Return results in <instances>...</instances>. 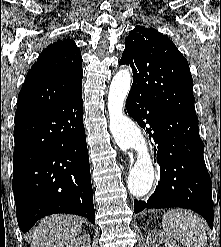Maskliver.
Instances as JSON below:
<instances>
[{
  "instance_id": "obj_1",
  "label": "liver",
  "mask_w": 221,
  "mask_h": 247,
  "mask_svg": "<svg viewBox=\"0 0 221 247\" xmlns=\"http://www.w3.org/2000/svg\"><path fill=\"white\" fill-rule=\"evenodd\" d=\"M83 219L72 215H52L42 219L27 236L31 247H64L82 231Z\"/></svg>"
}]
</instances>
